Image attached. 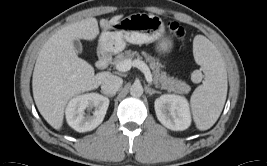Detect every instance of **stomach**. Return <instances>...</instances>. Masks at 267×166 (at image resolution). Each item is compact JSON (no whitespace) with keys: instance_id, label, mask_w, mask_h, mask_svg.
Instances as JSON below:
<instances>
[{"instance_id":"obj_1","label":"stomach","mask_w":267,"mask_h":166,"mask_svg":"<svg viewBox=\"0 0 267 166\" xmlns=\"http://www.w3.org/2000/svg\"><path fill=\"white\" fill-rule=\"evenodd\" d=\"M164 34V22L159 16L134 13L102 31L98 50L116 54L125 48L126 42L148 44L158 41L157 50L166 53L172 48V42Z\"/></svg>"}]
</instances>
